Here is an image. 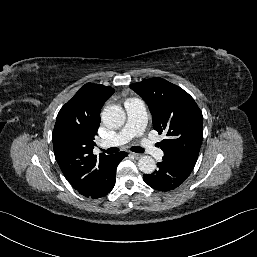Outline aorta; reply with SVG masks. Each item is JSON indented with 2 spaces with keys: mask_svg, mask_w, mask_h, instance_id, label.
I'll return each mask as SVG.
<instances>
[{
  "mask_svg": "<svg viewBox=\"0 0 257 257\" xmlns=\"http://www.w3.org/2000/svg\"><path fill=\"white\" fill-rule=\"evenodd\" d=\"M101 119L103 124L111 129H117L124 125L126 114L122 107L118 105L107 106L102 114ZM140 171L145 174H151L156 168L155 160L150 156H142L138 160Z\"/></svg>",
  "mask_w": 257,
  "mask_h": 257,
  "instance_id": "obj_1",
  "label": "aorta"
}]
</instances>
